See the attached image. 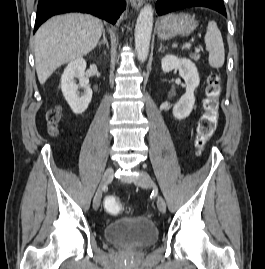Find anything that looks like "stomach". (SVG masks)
Listing matches in <instances>:
<instances>
[{
  "mask_svg": "<svg viewBox=\"0 0 265 269\" xmlns=\"http://www.w3.org/2000/svg\"><path fill=\"white\" fill-rule=\"evenodd\" d=\"M197 27V21L193 15L187 13L170 14L158 21V37L163 40L171 39L178 35H189Z\"/></svg>",
  "mask_w": 265,
  "mask_h": 269,
  "instance_id": "stomach-1",
  "label": "stomach"
}]
</instances>
